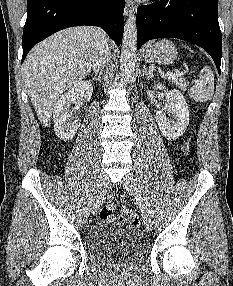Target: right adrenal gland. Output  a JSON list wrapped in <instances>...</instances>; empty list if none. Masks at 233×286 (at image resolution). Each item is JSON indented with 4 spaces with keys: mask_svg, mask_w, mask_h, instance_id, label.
<instances>
[{
    "mask_svg": "<svg viewBox=\"0 0 233 286\" xmlns=\"http://www.w3.org/2000/svg\"><path fill=\"white\" fill-rule=\"evenodd\" d=\"M93 75H94V78H97L98 81L100 80V76H98L97 73H93Z\"/></svg>",
    "mask_w": 233,
    "mask_h": 286,
    "instance_id": "2a0ac1e0",
    "label": "right adrenal gland"
}]
</instances>
